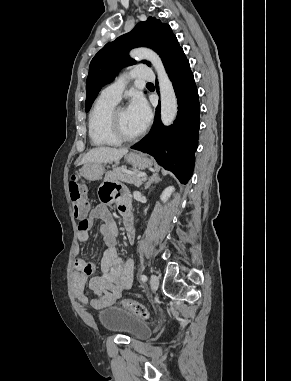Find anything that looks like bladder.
<instances>
[{
    "label": "bladder",
    "mask_w": 291,
    "mask_h": 381,
    "mask_svg": "<svg viewBox=\"0 0 291 381\" xmlns=\"http://www.w3.org/2000/svg\"><path fill=\"white\" fill-rule=\"evenodd\" d=\"M98 319L107 331L122 333L133 340L150 335V327L141 318L116 306L99 311Z\"/></svg>",
    "instance_id": "obj_1"
}]
</instances>
